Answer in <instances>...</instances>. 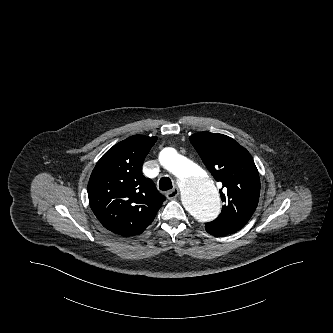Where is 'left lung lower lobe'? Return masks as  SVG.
I'll return each instance as SVG.
<instances>
[{
  "label": "left lung lower lobe",
  "instance_id": "0a47b994",
  "mask_svg": "<svg viewBox=\"0 0 333 333\" xmlns=\"http://www.w3.org/2000/svg\"><path fill=\"white\" fill-rule=\"evenodd\" d=\"M205 229L211 235L219 236V237L236 232L235 230H232V229H229L226 227L215 226L210 222L205 225Z\"/></svg>",
  "mask_w": 333,
  "mask_h": 333
}]
</instances>
